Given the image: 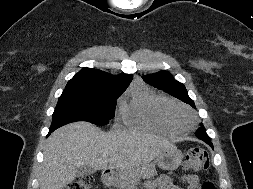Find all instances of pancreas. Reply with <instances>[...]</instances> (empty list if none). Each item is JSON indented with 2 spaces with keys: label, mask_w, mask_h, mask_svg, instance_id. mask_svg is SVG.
Returning <instances> with one entry per match:
<instances>
[{
  "label": "pancreas",
  "mask_w": 253,
  "mask_h": 189,
  "mask_svg": "<svg viewBox=\"0 0 253 189\" xmlns=\"http://www.w3.org/2000/svg\"><path fill=\"white\" fill-rule=\"evenodd\" d=\"M156 175L154 165H145L140 168H126L119 171L115 177V187L117 189H129L140 178H151Z\"/></svg>",
  "instance_id": "obj_1"
}]
</instances>
